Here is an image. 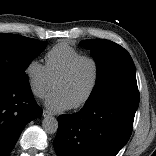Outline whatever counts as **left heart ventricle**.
Instances as JSON below:
<instances>
[{
  "instance_id": "b2bd125f",
  "label": "left heart ventricle",
  "mask_w": 156,
  "mask_h": 156,
  "mask_svg": "<svg viewBox=\"0 0 156 156\" xmlns=\"http://www.w3.org/2000/svg\"><path fill=\"white\" fill-rule=\"evenodd\" d=\"M94 78V67L88 62H82L73 75L55 85V90L61 92L74 105L88 92Z\"/></svg>"
}]
</instances>
